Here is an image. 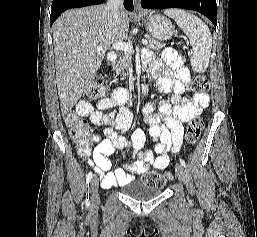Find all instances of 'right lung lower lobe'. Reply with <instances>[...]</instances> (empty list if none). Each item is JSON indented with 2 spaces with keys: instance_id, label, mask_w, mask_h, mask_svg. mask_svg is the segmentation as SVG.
Returning a JSON list of instances; mask_svg holds the SVG:
<instances>
[{
  "instance_id": "1",
  "label": "right lung lower lobe",
  "mask_w": 257,
  "mask_h": 237,
  "mask_svg": "<svg viewBox=\"0 0 257 237\" xmlns=\"http://www.w3.org/2000/svg\"><path fill=\"white\" fill-rule=\"evenodd\" d=\"M104 1L105 0H53L51 6L50 26H52L53 22L67 9L101 4ZM124 7L127 10L132 11L133 0H124Z\"/></svg>"
}]
</instances>
